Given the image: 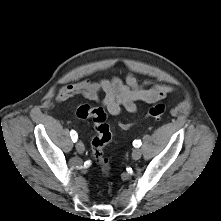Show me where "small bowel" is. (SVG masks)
<instances>
[{"label":"small bowel","mask_w":221,"mask_h":221,"mask_svg":"<svg viewBox=\"0 0 221 221\" xmlns=\"http://www.w3.org/2000/svg\"><path fill=\"white\" fill-rule=\"evenodd\" d=\"M172 90L169 85L150 80L140 83L132 73H128L124 79L112 77L64 85L59 89L56 99L62 103L74 96H83L90 101L100 102L109 114L119 115L122 110L136 112L137 102L153 103L162 100Z\"/></svg>","instance_id":"1"}]
</instances>
